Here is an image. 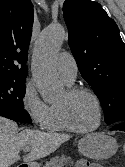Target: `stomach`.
<instances>
[{
	"mask_svg": "<svg viewBox=\"0 0 125 167\" xmlns=\"http://www.w3.org/2000/svg\"><path fill=\"white\" fill-rule=\"evenodd\" d=\"M79 152L94 160H105L113 156L117 149V141L104 133H92L81 138L78 142ZM28 167H39L37 164H30Z\"/></svg>",
	"mask_w": 125,
	"mask_h": 167,
	"instance_id": "1",
	"label": "stomach"
}]
</instances>
